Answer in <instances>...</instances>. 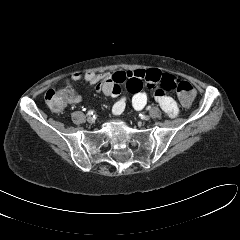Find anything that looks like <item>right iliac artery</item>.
Wrapping results in <instances>:
<instances>
[{"mask_svg":"<svg viewBox=\"0 0 240 240\" xmlns=\"http://www.w3.org/2000/svg\"><path fill=\"white\" fill-rule=\"evenodd\" d=\"M88 115H93V111H88Z\"/></svg>","mask_w":240,"mask_h":240,"instance_id":"right-iliac-artery-1","label":"right iliac artery"}]
</instances>
